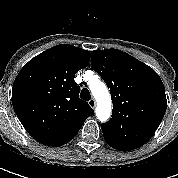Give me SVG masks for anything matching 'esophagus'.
I'll return each instance as SVG.
<instances>
[{"label":"esophagus","mask_w":178,"mask_h":178,"mask_svg":"<svg viewBox=\"0 0 178 178\" xmlns=\"http://www.w3.org/2000/svg\"><path fill=\"white\" fill-rule=\"evenodd\" d=\"M89 106L91 107V108H95L96 107V101H95V99H91L89 102Z\"/></svg>","instance_id":"esophagus-1"}]
</instances>
